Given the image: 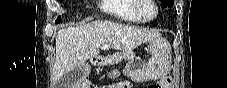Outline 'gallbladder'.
Here are the masks:
<instances>
[{"instance_id":"gallbladder-1","label":"gallbladder","mask_w":227,"mask_h":88,"mask_svg":"<svg viewBox=\"0 0 227 88\" xmlns=\"http://www.w3.org/2000/svg\"><path fill=\"white\" fill-rule=\"evenodd\" d=\"M85 75L84 67L78 66L75 69L65 73L57 82V88H71L80 81Z\"/></svg>"}]
</instances>
